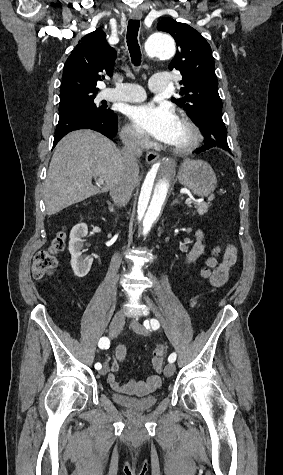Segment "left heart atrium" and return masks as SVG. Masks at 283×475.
Here are the masks:
<instances>
[{
    "label": "left heart atrium",
    "mask_w": 283,
    "mask_h": 475,
    "mask_svg": "<svg viewBox=\"0 0 283 475\" xmlns=\"http://www.w3.org/2000/svg\"><path fill=\"white\" fill-rule=\"evenodd\" d=\"M133 126L157 140L170 143L176 133L178 117L167 103H145L134 106L128 114Z\"/></svg>",
    "instance_id": "1"
}]
</instances>
